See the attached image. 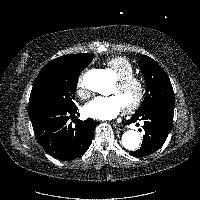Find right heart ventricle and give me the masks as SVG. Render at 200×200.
Returning a JSON list of instances; mask_svg holds the SVG:
<instances>
[{"label":"right heart ventricle","instance_id":"e07e8e85","mask_svg":"<svg viewBox=\"0 0 200 200\" xmlns=\"http://www.w3.org/2000/svg\"><path fill=\"white\" fill-rule=\"evenodd\" d=\"M107 67L115 73L118 79L124 78L135 73L132 62L123 56H116L106 61Z\"/></svg>","mask_w":200,"mask_h":200}]
</instances>
